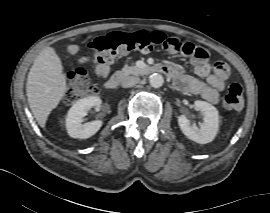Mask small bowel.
<instances>
[{
	"label": "small bowel",
	"mask_w": 270,
	"mask_h": 213,
	"mask_svg": "<svg viewBox=\"0 0 270 213\" xmlns=\"http://www.w3.org/2000/svg\"><path fill=\"white\" fill-rule=\"evenodd\" d=\"M162 47L167 50L176 52L177 50H172L171 46L166 43ZM79 51L78 45L68 46V52L70 54H76ZM90 60V57L84 56L80 58V63H86ZM191 63L194 68V73L197 77L182 74L177 68L171 65H165L172 73L171 79H173L175 86L185 92L197 94L204 98L205 100L216 103L218 101L220 93L225 87L227 77H220L215 70V65H213L207 58L197 59L193 57ZM95 74L100 79H107L111 73V68L108 64H97L95 66ZM200 78L205 79V82Z\"/></svg>",
	"instance_id": "small-bowel-1"
}]
</instances>
